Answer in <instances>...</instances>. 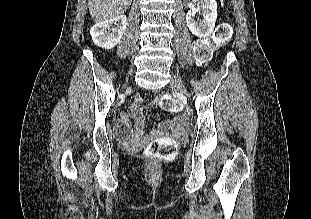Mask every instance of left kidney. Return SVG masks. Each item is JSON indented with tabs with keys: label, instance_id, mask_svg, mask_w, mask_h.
Here are the masks:
<instances>
[{
	"label": "left kidney",
	"instance_id": "left-kidney-1",
	"mask_svg": "<svg viewBox=\"0 0 311 219\" xmlns=\"http://www.w3.org/2000/svg\"><path fill=\"white\" fill-rule=\"evenodd\" d=\"M197 2L201 11L202 20L197 22L194 20V12L188 11L186 14V22L189 30L197 37L205 38L212 34L217 19V3L216 0H193Z\"/></svg>",
	"mask_w": 311,
	"mask_h": 219
}]
</instances>
